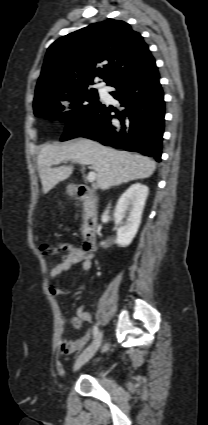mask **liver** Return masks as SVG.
Masks as SVG:
<instances>
[{"mask_svg": "<svg viewBox=\"0 0 208 425\" xmlns=\"http://www.w3.org/2000/svg\"><path fill=\"white\" fill-rule=\"evenodd\" d=\"M83 160L96 172L97 186L107 190L112 186L150 177L156 163L149 157L105 147L89 139H78L70 144L42 147L38 155V172L44 194L73 172L72 166L53 167L63 161Z\"/></svg>", "mask_w": 208, "mask_h": 425, "instance_id": "6515ba94", "label": "liver"}]
</instances>
